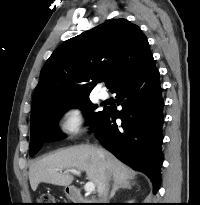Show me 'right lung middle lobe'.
<instances>
[{"instance_id": "obj_1", "label": "right lung middle lobe", "mask_w": 200, "mask_h": 205, "mask_svg": "<svg viewBox=\"0 0 200 205\" xmlns=\"http://www.w3.org/2000/svg\"><path fill=\"white\" fill-rule=\"evenodd\" d=\"M79 107L83 110L89 122L96 123L105 109L100 112H92L97 105L89 103V96L68 98L47 103L40 113L30 123L31 141L29 145L30 155L34 156L42 147L43 141L51 142L65 138V135L57 131L55 126L57 119L67 109Z\"/></svg>"}]
</instances>
